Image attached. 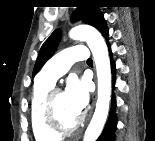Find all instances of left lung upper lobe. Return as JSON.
<instances>
[{"mask_svg":"<svg viewBox=\"0 0 155 141\" xmlns=\"http://www.w3.org/2000/svg\"><path fill=\"white\" fill-rule=\"evenodd\" d=\"M99 6L90 0H84L76 9V20L85 19L86 23L95 26L105 37L108 29ZM60 39V31L55 30L42 45L37 61L33 69V76L39 71L44 63L53 55Z\"/></svg>","mask_w":155,"mask_h":141,"instance_id":"1","label":"left lung upper lobe"}]
</instances>
